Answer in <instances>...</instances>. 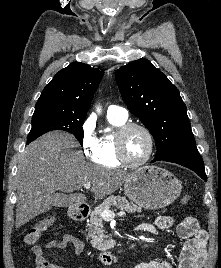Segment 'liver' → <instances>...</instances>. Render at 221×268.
<instances>
[{"label":"liver","instance_id":"liver-1","mask_svg":"<svg viewBox=\"0 0 221 268\" xmlns=\"http://www.w3.org/2000/svg\"><path fill=\"white\" fill-rule=\"evenodd\" d=\"M76 146L70 134L56 131L26 147L16 175V228L55 206L58 190L72 193L90 183L91 192L102 199L132 177L133 173L87 163L81 151L73 150Z\"/></svg>","mask_w":221,"mask_h":268}]
</instances>
